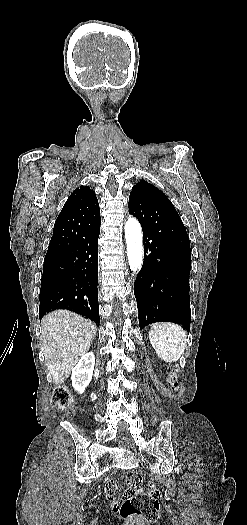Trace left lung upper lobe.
I'll list each match as a JSON object with an SVG mask.
<instances>
[{"instance_id":"obj_1","label":"left lung upper lobe","mask_w":247,"mask_h":525,"mask_svg":"<svg viewBox=\"0 0 247 525\" xmlns=\"http://www.w3.org/2000/svg\"><path fill=\"white\" fill-rule=\"evenodd\" d=\"M129 213L138 219L142 228L163 234L191 254L189 237L179 214L164 193L152 184L140 181L132 187Z\"/></svg>"}]
</instances>
